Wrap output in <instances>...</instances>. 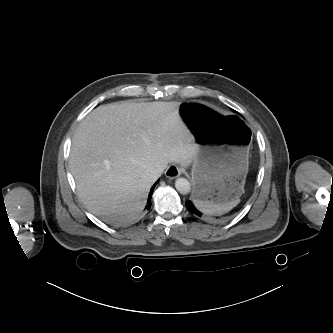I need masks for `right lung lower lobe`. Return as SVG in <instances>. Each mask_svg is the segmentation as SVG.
Here are the masks:
<instances>
[{
	"label": "right lung lower lobe",
	"mask_w": 333,
	"mask_h": 333,
	"mask_svg": "<svg viewBox=\"0 0 333 333\" xmlns=\"http://www.w3.org/2000/svg\"><path fill=\"white\" fill-rule=\"evenodd\" d=\"M158 181H159V180H158ZM158 181H157V182H158ZM157 182L152 186L151 191H150V194H149V198H151L152 192H153L154 187H155V185L157 184ZM150 207H151V200L148 199V205H147L146 208L150 209Z\"/></svg>",
	"instance_id": "right-lung-lower-lobe-1"
}]
</instances>
